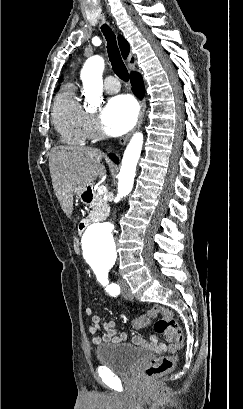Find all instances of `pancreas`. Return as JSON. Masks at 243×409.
Returning <instances> with one entry per match:
<instances>
[{"label":"pancreas","mask_w":243,"mask_h":409,"mask_svg":"<svg viewBox=\"0 0 243 409\" xmlns=\"http://www.w3.org/2000/svg\"><path fill=\"white\" fill-rule=\"evenodd\" d=\"M91 211L89 217L92 220L103 221L109 214V208L102 195L94 192V201L91 205Z\"/></svg>","instance_id":"pancreas-1"}]
</instances>
